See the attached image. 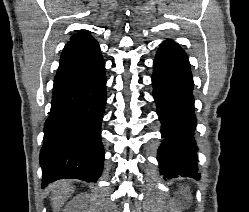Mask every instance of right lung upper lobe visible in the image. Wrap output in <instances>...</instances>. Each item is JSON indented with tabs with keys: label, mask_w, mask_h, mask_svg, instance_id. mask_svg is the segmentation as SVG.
Wrapping results in <instances>:
<instances>
[{
	"label": "right lung upper lobe",
	"mask_w": 249,
	"mask_h": 212,
	"mask_svg": "<svg viewBox=\"0 0 249 212\" xmlns=\"http://www.w3.org/2000/svg\"><path fill=\"white\" fill-rule=\"evenodd\" d=\"M100 55L98 42L87 32L72 36L66 44L57 73L64 72L92 61Z\"/></svg>",
	"instance_id": "cb5924a9"
}]
</instances>
